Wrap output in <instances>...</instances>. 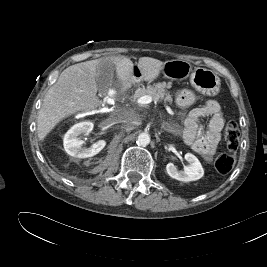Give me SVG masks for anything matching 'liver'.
Segmentation results:
<instances>
[{
  "mask_svg": "<svg viewBox=\"0 0 267 267\" xmlns=\"http://www.w3.org/2000/svg\"><path fill=\"white\" fill-rule=\"evenodd\" d=\"M114 66L118 82L122 85L135 80L134 64L124 55L85 61L66 68L47 91L37 117V132L41 141L63 119L79 112H90L102 104L97 97V79L102 75L104 63ZM164 62L141 57L138 69L141 80L152 82L162 71Z\"/></svg>",
  "mask_w": 267,
  "mask_h": 267,
  "instance_id": "6515ba94",
  "label": "liver"
}]
</instances>
